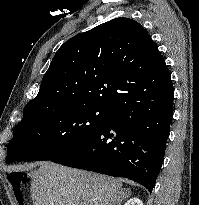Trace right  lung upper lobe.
<instances>
[{"label":"right lung upper lobe","instance_id":"obj_1","mask_svg":"<svg viewBox=\"0 0 199 205\" xmlns=\"http://www.w3.org/2000/svg\"><path fill=\"white\" fill-rule=\"evenodd\" d=\"M164 73L165 60L146 30L115 18L66 41L24 108L72 103L110 110L153 88Z\"/></svg>","mask_w":199,"mask_h":205}]
</instances>
